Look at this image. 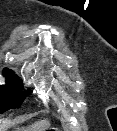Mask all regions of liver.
Wrapping results in <instances>:
<instances>
[{"label": "liver", "mask_w": 117, "mask_h": 131, "mask_svg": "<svg viewBox=\"0 0 117 131\" xmlns=\"http://www.w3.org/2000/svg\"><path fill=\"white\" fill-rule=\"evenodd\" d=\"M50 123L48 121H40L33 126L27 128V131H44L49 127Z\"/></svg>", "instance_id": "6515ba94"}]
</instances>
